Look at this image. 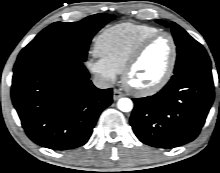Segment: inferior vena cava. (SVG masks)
<instances>
[{"label": "inferior vena cava", "mask_w": 220, "mask_h": 173, "mask_svg": "<svg viewBox=\"0 0 220 173\" xmlns=\"http://www.w3.org/2000/svg\"><path fill=\"white\" fill-rule=\"evenodd\" d=\"M92 81L94 86L99 89H107L112 86V81L102 75H95Z\"/></svg>", "instance_id": "inferior-vena-cava-1"}]
</instances>
